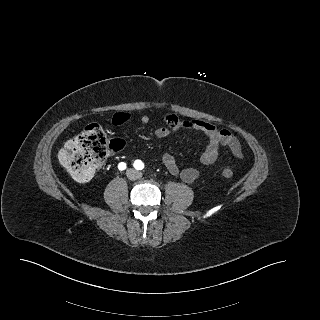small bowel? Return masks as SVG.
I'll return each instance as SVG.
<instances>
[{
  "label": "small bowel",
  "instance_id": "obj_1",
  "mask_svg": "<svg viewBox=\"0 0 320 320\" xmlns=\"http://www.w3.org/2000/svg\"><path fill=\"white\" fill-rule=\"evenodd\" d=\"M130 117V114L126 112L116 113L112 122L115 125H122ZM149 120L147 115L141 117L143 124H147ZM179 131L202 132L207 137V146L200 156L201 163L204 165H212L223 147L228 149L233 156L242 157L240 141L233 133L227 129H219L212 123L200 119H183L174 114H168L165 116V126L155 129L153 136L155 139H163ZM161 161L172 175H179L186 183H193L199 177V170L195 167L180 169L176 158L171 153H165Z\"/></svg>",
  "mask_w": 320,
  "mask_h": 320
}]
</instances>
